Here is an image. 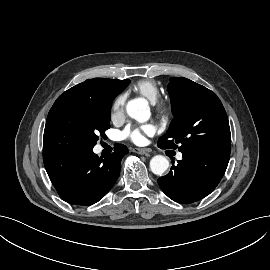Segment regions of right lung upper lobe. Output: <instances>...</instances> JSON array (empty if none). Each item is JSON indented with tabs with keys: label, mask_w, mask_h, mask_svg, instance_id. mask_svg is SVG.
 Masks as SVG:
<instances>
[{
	"label": "right lung upper lobe",
	"mask_w": 270,
	"mask_h": 270,
	"mask_svg": "<svg viewBox=\"0 0 270 270\" xmlns=\"http://www.w3.org/2000/svg\"><path fill=\"white\" fill-rule=\"evenodd\" d=\"M127 82L106 78L88 79L61 94L53 106L85 100L106 103L113 100L127 86Z\"/></svg>",
	"instance_id": "cb5924a9"
}]
</instances>
